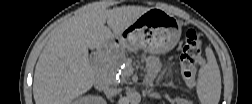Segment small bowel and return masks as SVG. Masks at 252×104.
<instances>
[{
    "mask_svg": "<svg viewBox=\"0 0 252 104\" xmlns=\"http://www.w3.org/2000/svg\"><path fill=\"white\" fill-rule=\"evenodd\" d=\"M148 68H149V77L154 78L159 71L158 63L154 58H150L148 60Z\"/></svg>",
    "mask_w": 252,
    "mask_h": 104,
    "instance_id": "1",
    "label": "small bowel"
}]
</instances>
